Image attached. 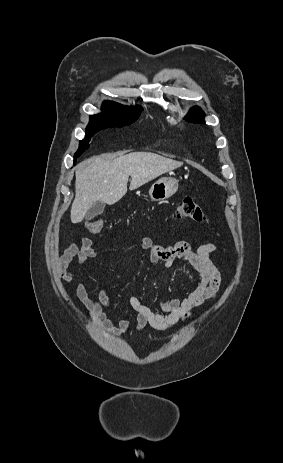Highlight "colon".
Returning <instances> with one entry per match:
<instances>
[{"instance_id": "colon-1", "label": "colon", "mask_w": 283, "mask_h": 463, "mask_svg": "<svg viewBox=\"0 0 283 463\" xmlns=\"http://www.w3.org/2000/svg\"><path fill=\"white\" fill-rule=\"evenodd\" d=\"M176 216L180 219H189L195 222L206 220L203 209L191 198H184L178 203ZM103 226L104 220L102 218H92L86 221V228L92 233H100Z\"/></svg>"}]
</instances>
